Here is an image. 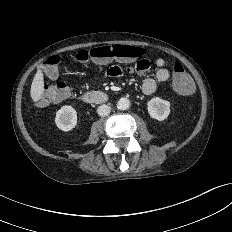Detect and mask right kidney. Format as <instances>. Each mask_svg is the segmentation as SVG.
<instances>
[{
	"label": "right kidney",
	"mask_w": 232,
	"mask_h": 232,
	"mask_svg": "<svg viewBox=\"0 0 232 232\" xmlns=\"http://www.w3.org/2000/svg\"><path fill=\"white\" fill-rule=\"evenodd\" d=\"M55 122L57 127L68 132L75 128L77 124V112L72 106H62L56 113Z\"/></svg>",
	"instance_id": "obj_1"
}]
</instances>
